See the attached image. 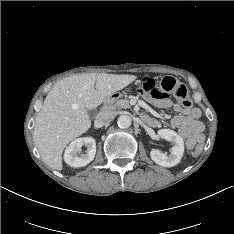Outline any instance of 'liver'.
Masks as SVG:
<instances>
[{
	"label": "liver",
	"instance_id": "liver-1",
	"mask_svg": "<svg viewBox=\"0 0 234 234\" xmlns=\"http://www.w3.org/2000/svg\"><path fill=\"white\" fill-rule=\"evenodd\" d=\"M137 77L129 74L85 73L57 82L37 114L33 139L43 161L62 170L67 144L91 127L87 109L99 106L106 96L123 89Z\"/></svg>",
	"mask_w": 234,
	"mask_h": 234
}]
</instances>
